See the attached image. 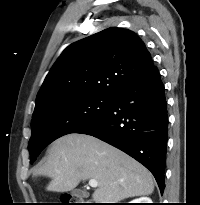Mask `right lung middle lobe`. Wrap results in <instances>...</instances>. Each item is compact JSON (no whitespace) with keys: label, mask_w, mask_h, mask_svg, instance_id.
I'll use <instances>...</instances> for the list:
<instances>
[{"label":"right lung middle lobe","mask_w":200,"mask_h":205,"mask_svg":"<svg viewBox=\"0 0 200 205\" xmlns=\"http://www.w3.org/2000/svg\"><path fill=\"white\" fill-rule=\"evenodd\" d=\"M113 97L86 95L52 104L32 117L28 149L32 164L40 152L55 139L75 133L104 116Z\"/></svg>","instance_id":"obj_1"}]
</instances>
